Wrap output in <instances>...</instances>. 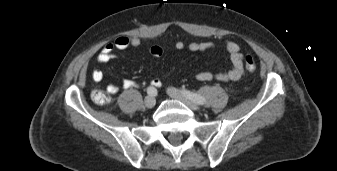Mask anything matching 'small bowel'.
I'll return each instance as SVG.
<instances>
[{
	"instance_id": "small-bowel-1",
	"label": "small bowel",
	"mask_w": 337,
	"mask_h": 171,
	"mask_svg": "<svg viewBox=\"0 0 337 171\" xmlns=\"http://www.w3.org/2000/svg\"><path fill=\"white\" fill-rule=\"evenodd\" d=\"M141 45V40L138 37L129 36H118L113 42L107 43L100 51L97 57V63L105 64L111 61L115 57V51L126 50L128 48H137ZM222 46L230 55L231 68L229 70H220L217 72L201 71L196 74V79L201 82L211 81L213 79L229 82L238 81L244 75V56L241 50V46L231 40H225L222 42ZM176 50H182L185 44L182 41H177L174 45ZM190 51H215L217 50V45L210 41L205 42H191L188 45ZM163 50L160 46L154 45L150 48V54L154 57H160ZM104 78V74L100 69H94L92 71V79L95 82H101ZM152 85L159 88L162 85V78L156 76L152 80ZM122 86L125 89L137 87V83L131 79H125L122 82ZM106 91L109 94H116L119 91V87L116 84H109L106 87Z\"/></svg>"
}]
</instances>
